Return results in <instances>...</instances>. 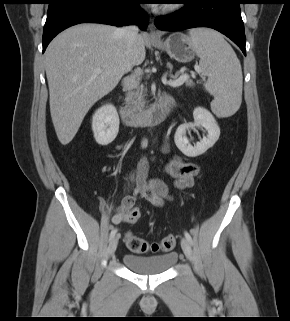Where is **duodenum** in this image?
Masks as SVG:
<instances>
[{"label":"duodenum","instance_id":"410a0bca","mask_svg":"<svg viewBox=\"0 0 290 321\" xmlns=\"http://www.w3.org/2000/svg\"><path fill=\"white\" fill-rule=\"evenodd\" d=\"M174 106L173 100L165 96L161 103L153 110L144 113H136L124 108H117L122 121L131 127L157 125L163 122L170 114Z\"/></svg>","mask_w":290,"mask_h":321}]
</instances>
